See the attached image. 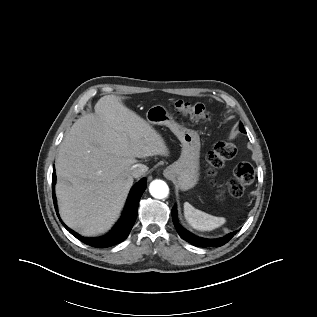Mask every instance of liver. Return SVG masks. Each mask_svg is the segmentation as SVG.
<instances>
[{"instance_id": "6515ba94", "label": "liver", "mask_w": 317, "mask_h": 317, "mask_svg": "<svg viewBox=\"0 0 317 317\" xmlns=\"http://www.w3.org/2000/svg\"><path fill=\"white\" fill-rule=\"evenodd\" d=\"M123 99H99L96 115L79 118L59 147L55 167L60 215L85 236L103 233L117 220L133 185L130 168L138 159L169 156L161 134Z\"/></svg>"}]
</instances>
